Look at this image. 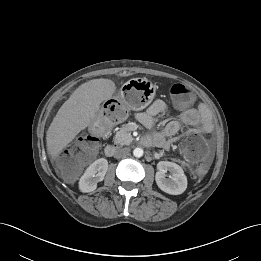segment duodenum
<instances>
[{"label": "duodenum", "mask_w": 261, "mask_h": 261, "mask_svg": "<svg viewBox=\"0 0 261 261\" xmlns=\"http://www.w3.org/2000/svg\"><path fill=\"white\" fill-rule=\"evenodd\" d=\"M150 144V142H147ZM116 152V147L114 145H107L104 149V153L107 157H112Z\"/></svg>", "instance_id": "duodenum-1"}]
</instances>
